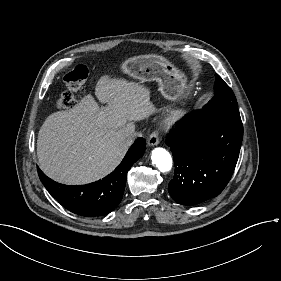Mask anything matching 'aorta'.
<instances>
[{
    "mask_svg": "<svg viewBox=\"0 0 281 281\" xmlns=\"http://www.w3.org/2000/svg\"><path fill=\"white\" fill-rule=\"evenodd\" d=\"M152 164H154L161 172L165 173L172 168V158L170 153L164 148H155L151 155Z\"/></svg>",
    "mask_w": 281,
    "mask_h": 281,
    "instance_id": "1",
    "label": "aorta"
}]
</instances>
